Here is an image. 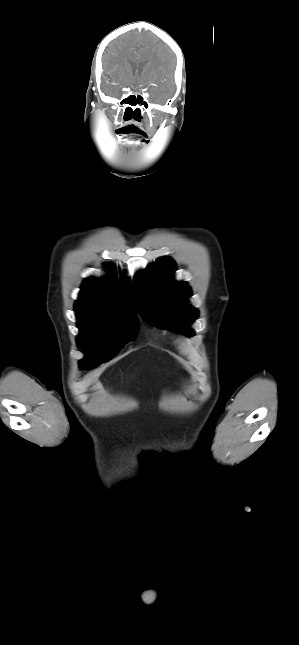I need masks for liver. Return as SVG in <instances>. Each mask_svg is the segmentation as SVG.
I'll list each match as a JSON object with an SVG mask.
<instances>
[{"mask_svg":"<svg viewBox=\"0 0 299 645\" xmlns=\"http://www.w3.org/2000/svg\"><path fill=\"white\" fill-rule=\"evenodd\" d=\"M97 387H98V388H101V385H100V383H97Z\"/></svg>","mask_w":299,"mask_h":645,"instance_id":"liver-1","label":"liver"}]
</instances>
